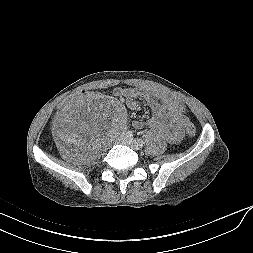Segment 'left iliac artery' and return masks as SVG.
Returning a JSON list of instances; mask_svg holds the SVG:
<instances>
[{"label": "left iliac artery", "instance_id": "1", "mask_svg": "<svg viewBox=\"0 0 253 253\" xmlns=\"http://www.w3.org/2000/svg\"><path fill=\"white\" fill-rule=\"evenodd\" d=\"M137 144H138L139 147L142 148L144 146V141L141 140V139H137Z\"/></svg>", "mask_w": 253, "mask_h": 253}]
</instances>
